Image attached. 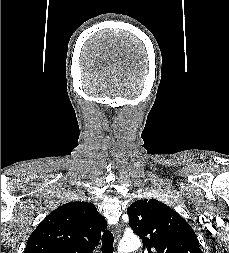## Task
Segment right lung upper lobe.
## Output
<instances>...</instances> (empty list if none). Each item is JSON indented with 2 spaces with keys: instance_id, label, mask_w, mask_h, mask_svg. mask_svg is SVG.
I'll return each instance as SVG.
<instances>
[{
  "instance_id": "right-lung-upper-lobe-1",
  "label": "right lung upper lobe",
  "mask_w": 229,
  "mask_h": 253,
  "mask_svg": "<svg viewBox=\"0 0 229 253\" xmlns=\"http://www.w3.org/2000/svg\"><path fill=\"white\" fill-rule=\"evenodd\" d=\"M105 219L92 203L77 201L52 211L28 238L24 253H93Z\"/></svg>"
}]
</instances>
